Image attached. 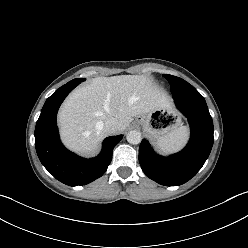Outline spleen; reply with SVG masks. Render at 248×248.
Wrapping results in <instances>:
<instances>
[{
    "instance_id": "spleen-1",
    "label": "spleen",
    "mask_w": 248,
    "mask_h": 248,
    "mask_svg": "<svg viewBox=\"0 0 248 248\" xmlns=\"http://www.w3.org/2000/svg\"><path fill=\"white\" fill-rule=\"evenodd\" d=\"M187 139L188 128L181 126L160 137L156 144L162 152L171 153L179 150L186 143Z\"/></svg>"
}]
</instances>
